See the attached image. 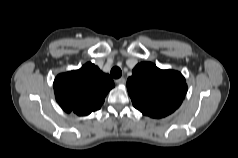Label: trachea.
<instances>
[{"instance_id":"3493384b","label":"trachea","mask_w":238,"mask_h":158,"mask_svg":"<svg viewBox=\"0 0 238 158\" xmlns=\"http://www.w3.org/2000/svg\"><path fill=\"white\" fill-rule=\"evenodd\" d=\"M122 75V71L119 67L115 66L111 69V76L115 79L120 78Z\"/></svg>"}]
</instances>
